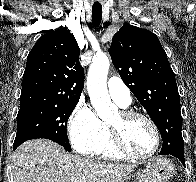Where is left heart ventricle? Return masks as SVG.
<instances>
[{"instance_id": "obj_1", "label": "left heart ventricle", "mask_w": 196, "mask_h": 182, "mask_svg": "<svg viewBox=\"0 0 196 182\" xmlns=\"http://www.w3.org/2000/svg\"><path fill=\"white\" fill-rule=\"evenodd\" d=\"M109 125L121 130L123 141L132 152L144 155L154 148V132L145 120L137 118L124 122L118 113Z\"/></svg>"}]
</instances>
